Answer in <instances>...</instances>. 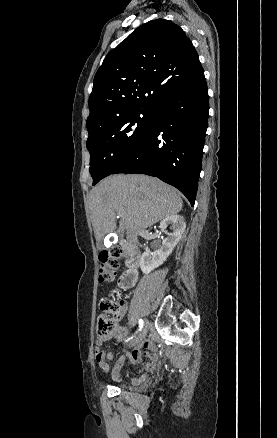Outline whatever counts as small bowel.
I'll return each instance as SVG.
<instances>
[{
	"label": "small bowel",
	"instance_id": "c3829d8e",
	"mask_svg": "<svg viewBox=\"0 0 277 438\" xmlns=\"http://www.w3.org/2000/svg\"><path fill=\"white\" fill-rule=\"evenodd\" d=\"M121 309H122V312L126 311V309H127L126 303H121ZM127 332H128V328L127 327L116 326L109 336H107V337L98 336L97 344H102L103 342H105L108 339V337H110L112 339H115V340L116 339H120ZM141 345H142V343L136 344V346L134 347L133 351L130 353L129 358H130V360L132 362H139L142 359V354L139 351ZM143 347L146 348V349H150L152 351V354L150 355V357H151V359L153 361H155L157 359V354H156V350L157 349H156V346L153 343H151V342H145L143 344ZM93 353H94V355L99 356V355H101L102 350H101V348L96 347V348H94ZM103 353L105 355H108L110 353V350L108 348H105L103 350ZM122 363H123V360H120L117 363V365H116V367L114 369V372H113V376H114V378L118 382L122 381L121 378L119 377V370H120V367L122 366ZM97 365H98V367L103 368V367H105L106 362H105V360L102 359V357H98ZM154 367H155L154 363H146L143 366V370L147 371V370H150V369H152ZM144 371L140 374L139 378L133 379L131 381V383L133 385H139L141 382H144L146 380V375H145Z\"/></svg>",
	"mask_w": 277,
	"mask_h": 438
}]
</instances>
